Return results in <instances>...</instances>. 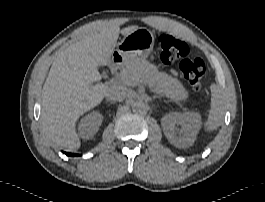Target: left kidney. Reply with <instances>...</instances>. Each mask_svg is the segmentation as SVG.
Masks as SVG:
<instances>
[{
	"instance_id": "obj_1",
	"label": "left kidney",
	"mask_w": 265,
	"mask_h": 202,
	"mask_svg": "<svg viewBox=\"0 0 265 202\" xmlns=\"http://www.w3.org/2000/svg\"><path fill=\"white\" fill-rule=\"evenodd\" d=\"M164 135L168 141L179 148H188L196 140L201 115L197 112L169 113L161 120Z\"/></svg>"
}]
</instances>
